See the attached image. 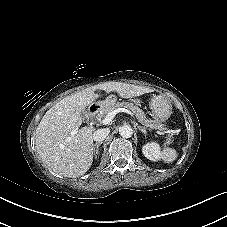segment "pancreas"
Masks as SVG:
<instances>
[{"label":"pancreas","instance_id":"cf45deb5","mask_svg":"<svg viewBox=\"0 0 227 227\" xmlns=\"http://www.w3.org/2000/svg\"><path fill=\"white\" fill-rule=\"evenodd\" d=\"M118 108H127L131 110L133 114H135L138 121L145 127H149L150 129H156L159 131L166 130L161 121L147 119L143 110H141L138 106H135L133 103L129 102H115L112 103L111 105L103 107L100 113V117H103L107 115L109 112L116 110Z\"/></svg>","mask_w":227,"mask_h":227}]
</instances>
